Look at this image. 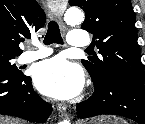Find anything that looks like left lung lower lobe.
<instances>
[{
  "instance_id": "obj_1",
  "label": "left lung lower lobe",
  "mask_w": 145,
  "mask_h": 124,
  "mask_svg": "<svg viewBox=\"0 0 145 124\" xmlns=\"http://www.w3.org/2000/svg\"><path fill=\"white\" fill-rule=\"evenodd\" d=\"M94 88L95 91L88 100L77 104L79 118L112 114L145 124L144 80L116 75Z\"/></svg>"
}]
</instances>
